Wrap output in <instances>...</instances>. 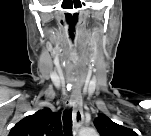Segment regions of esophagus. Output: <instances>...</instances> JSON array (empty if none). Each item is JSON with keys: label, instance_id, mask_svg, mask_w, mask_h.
I'll list each match as a JSON object with an SVG mask.
<instances>
[{"label": "esophagus", "instance_id": "1", "mask_svg": "<svg viewBox=\"0 0 151 136\" xmlns=\"http://www.w3.org/2000/svg\"><path fill=\"white\" fill-rule=\"evenodd\" d=\"M69 103L73 107L72 117H73L74 132L78 133L84 122V114H83V108H82L81 95L77 89H73L71 91Z\"/></svg>", "mask_w": 151, "mask_h": 136}]
</instances>
